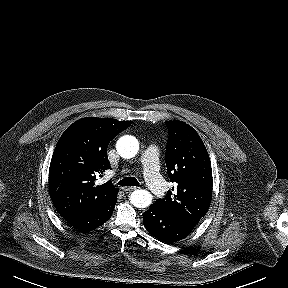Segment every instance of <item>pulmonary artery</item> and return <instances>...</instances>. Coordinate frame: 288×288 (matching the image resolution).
<instances>
[{
    "label": "pulmonary artery",
    "mask_w": 288,
    "mask_h": 288,
    "mask_svg": "<svg viewBox=\"0 0 288 288\" xmlns=\"http://www.w3.org/2000/svg\"><path fill=\"white\" fill-rule=\"evenodd\" d=\"M141 162L148 188L157 196L163 195L167 185L159 173L157 148L154 146L147 147L142 154Z\"/></svg>",
    "instance_id": "1"
}]
</instances>
